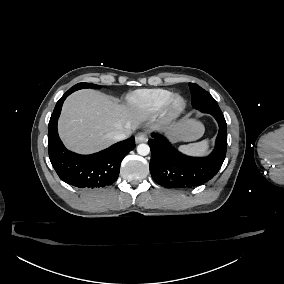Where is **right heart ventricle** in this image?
Segmentation results:
<instances>
[{"label": "right heart ventricle", "instance_id": "obj_1", "mask_svg": "<svg viewBox=\"0 0 284 284\" xmlns=\"http://www.w3.org/2000/svg\"><path fill=\"white\" fill-rule=\"evenodd\" d=\"M173 91L166 88L143 89L127 96L130 109L140 116L157 114L163 108Z\"/></svg>", "mask_w": 284, "mask_h": 284}]
</instances>
